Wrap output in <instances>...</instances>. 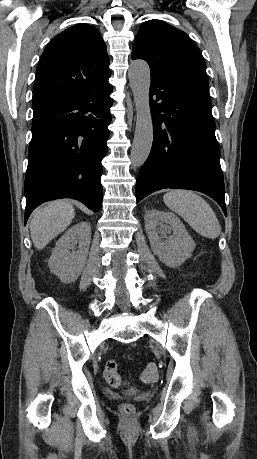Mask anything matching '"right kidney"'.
Masks as SVG:
<instances>
[{"mask_svg":"<svg viewBox=\"0 0 257 459\" xmlns=\"http://www.w3.org/2000/svg\"><path fill=\"white\" fill-rule=\"evenodd\" d=\"M90 240L91 227L88 222H80L69 228L56 243L48 260L50 271L65 283L77 280L87 261Z\"/></svg>","mask_w":257,"mask_h":459,"instance_id":"obj_1","label":"right kidney"}]
</instances>
